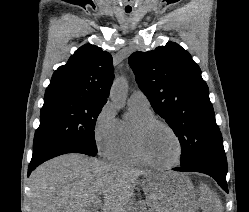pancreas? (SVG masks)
Returning <instances> with one entry per match:
<instances>
[{"label":"pancreas","mask_w":249,"mask_h":212,"mask_svg":"<svg viewBox=\"0 0 249 212\" xmlns=\"http://www.w3.org/2000/svg\"><path fill=\"white\" fill-rule=\"evenodd\" d=\"M136 210L137 212H148L147 206H145V204H140V206H137Z\"/></svg>","instance_id":"1"}]
</instances>
